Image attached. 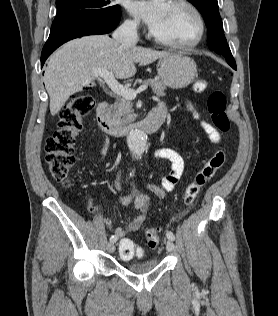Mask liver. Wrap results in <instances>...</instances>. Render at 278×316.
I'll return each mask as SVG.
<instances>
[{
    "mask_svg": "<svg viewBox=\"0 0 278 316\" xmlns=\"http://www.w3.org/2000/svg\"><path fill=\"white\" fill-rule=\"evenodd\" d=\"M152 49L124 46L108 35H90L64 44L49 59L44 84L50 111L56 115L69 97L95 86L94 71L113 72L118 79L135 75L136 63L147 65L166 55Z\"/></svg>",
    "mask_w": 278,
    "mask_h": 316,
    "instance_id": "1",
    "label": "liver"
}]
</instances>
